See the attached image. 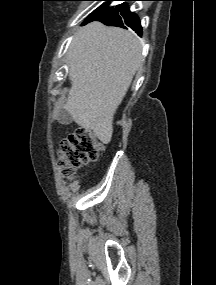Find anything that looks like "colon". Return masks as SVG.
<instances>
[{"mask_svg": "<svg viewBox=\"0 0 216 285\" xmlns=\"http://www.w3.org/2000/svg\"><path fill=\"white\" fill-rule=\"evenodd\" d=\"M103 144L83 128L75 130L62 140L59 147L60 164L63 173L72 177L77 168L98 159Z\"/></svg>", "mask_w": 216, "mask_h": 285, "instance_id": "obj_1", "label": "colon"}]
</instances>
